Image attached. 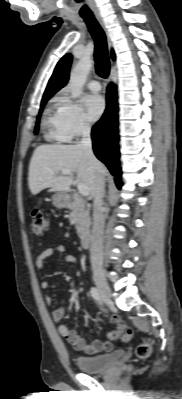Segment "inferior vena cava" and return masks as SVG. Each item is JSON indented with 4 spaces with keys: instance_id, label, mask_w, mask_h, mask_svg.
<instances>
[{
    "instance_id": "602c4592",
    "label": "inferior vena cava",
    "mask_w": 182,
    "mask_h": 399,
    "mask_svg": "<svg viewBox=\"0 0 182 399\" xmlns=\"http://www.w3.org/2000/svg\"><path fill=\"white\" fill-rule=\"evenodd\" d=\"M96 164L97 159L93 154L91 141V126L88 122L82 126V139L78 144ZM105 192V180L101 174L96 175L95 187L93 192V228L91 234V265L93 273L102 271L103 264V234H104V215L103 198Z\"/></svg>"
}]
</instances>
